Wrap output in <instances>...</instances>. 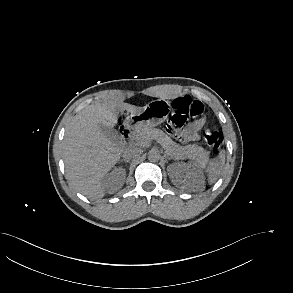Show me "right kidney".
<instances>
[{
    "mask_svg": "<svg viewBox=\"0 0 293 293\" xmlns=\"http://www.w3.org/2000/svg\"><path fill=\"white\" fill-rule=\"evenodd\" d=\"M126 176L125 170L122 168H115L110 174H108L105 178L106 181H115L119 180L121 182L124 181Z\"/></svg>",
    "mask_w": 293,
    "mask_h": 293,
    "instance_id": "ca27d5eb",
    "label": "right kidney"
}]
</instances>
